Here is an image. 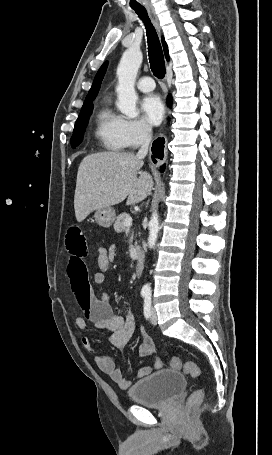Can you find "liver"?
Listing matches in <instances>:
<instances>
[{
	"label": "liver",
	"instance_id": "obj_1",
	"mask_svg": "<svg viewBox=\"0 0 272 455\" xmlns=\"http://www.w3.org/2000/svg\"><path fill=\"white\" fill-rule=\"evenodd\" d=\"M143 161L131 152H101L86 156L78 168L75 216L82 222L91 212L143 201L153 188L150 174L140 172ZM140 175L137 177V175Z\"/></svg>",
	"mask_w": 272,
	"mask_h": 455
}]
</instances>
